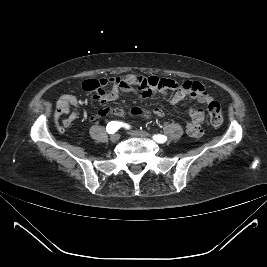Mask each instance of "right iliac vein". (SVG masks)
I'll return each instance as SVG.
<instances>
[{"instance_id": "right-iliac-vein-1", "label": "right iliac vein", "mask_w": 267, "mask_h": 267, "mask_svg": "<svg viewBox=\"0 0 267 267\" xmlns=\"http://www.w3.org/2000/svg\"><path fill=\"white\" fill-rule=\"evenodd\" d=\"M119 139H120V135L118 133H115V134L111 135V137H110V140L113 143L117 142Z\"/></svg>"}]
</instances>
